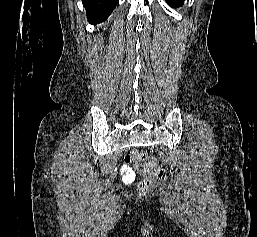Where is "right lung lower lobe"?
Here are the masks:
<instances>
[{
  "label": "right lung lower lobe",
  "mask_w": 257,
  "mask_h": 237,
  "mask_svg": "<svg viewBox=\"0 0 257 237\" xmlns=\"http://www.w3.org/2000/svg\"><path fill=\"white\" fill-rule=\"evenodd\" d=\"M89 23L105 21L115 9L119 0H82Z\"/></svg>",
  "instance_id": "right-lung-lower-lobe-1"
}]
</instances>
